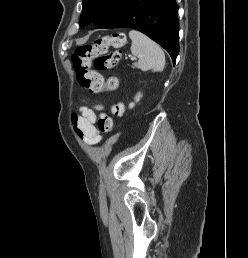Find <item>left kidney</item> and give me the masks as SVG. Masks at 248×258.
Segmentation results:
<instances>
[{"label": "left kidney", "instance_id": "obj_1", "mask_svg": "<svg viewBox=\"0 0 248 258\" xmlns=\"http://www.w3.org/2000/svg\"><path fill=\"white\" fill-rule=\"evenodd\" d=\"M142 97L141 93H138L135 97V101L138 102L140 98ZM135 103H130L129 108H133Z\"/></svg>", "mask_w": 248, "mask_h": 258}]
</instances>
